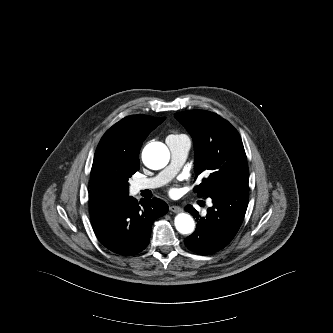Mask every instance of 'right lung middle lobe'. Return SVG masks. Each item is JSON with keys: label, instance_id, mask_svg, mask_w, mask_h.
<instances>
[{"label": "right lung middle lobe", "instance_id": "obj_1", "mask_svg": "<svg viewBox=\"0 0 333 333\" xmlns=\"http://www.w3.org/2000/svg\"><path fill=\"white\" fill-rule=\"evenodd\" d=\"M140 163H130L126 169H125V175H126V191L128 193V178L131 177L138 169H139Z\"/></svg>", "mask_w": 333, "mask_h": 333}]
</instances>
